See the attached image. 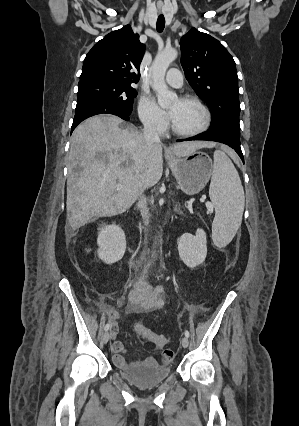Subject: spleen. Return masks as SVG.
Instances as JSON below:
<instances>
[{"label": "spleen", "mask_w": 299, "mask_h": 426, "mask_svg": "<svg viewBox=\"0 0 299 426\" xmlns=\"http://www.w3.org/2000/svg\"><path fill=\"white\" fill-rule=\"evenodd\" d=\"M209 196L215 207L212 238L217 247H225L241 225L245 196L234 164L220 150L214 152Z\"/></svg>", "instance_id": "spleen-1"}]
</instances>
